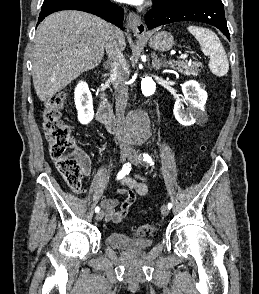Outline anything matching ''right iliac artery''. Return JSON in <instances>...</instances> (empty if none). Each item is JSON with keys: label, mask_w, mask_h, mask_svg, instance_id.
<instances>
[{"label": "right iliac artery", "mask_w": 259, "mask_h": 294, "mask_svg": "<svg viewBox=\"0 0 259 294\" xmlns=\"http://www.w3.org/2000/svg\"><path fill=\"white\" fill-rule=\"evenodd\" d=\"M131 170V164L129 162L125 163L121 169V171L118 173L117 179H122L125 175L129 174ZM100 208L97 206L95 208V212H99Z\"/></svg>", "instance_id": "obj_1"}]
</instances>
